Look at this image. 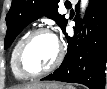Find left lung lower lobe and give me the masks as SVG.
Instances as JSON below:
<instances>
[{
  "instance_id": "0a47b994",
  "label": "left lung lower lobe",
  "mask_w": 107,
  "mask_h": 89,
  "mask_svg": "<svg viewBox=\"0 0 107 89\" xmlns=\"http://www.w3.org/2000/svg\"><path fill=\"white\" fill-rule=\"evenodd\" d=\"M83 23L76 36L66 34L68 48L64 61L42 80L80 83L90 89L105 88L107 0H91Z\"/></svg>"
}]
</instances>
